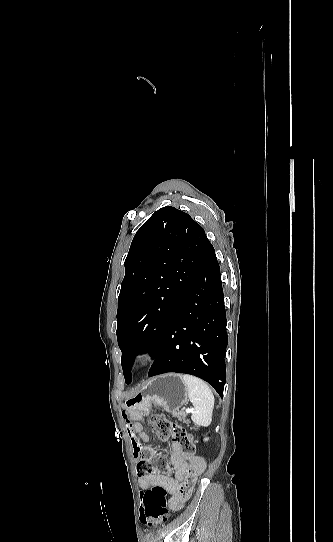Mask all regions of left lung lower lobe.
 I'll return each mask as SVG.
<instances>
[{"label": "left lung lower lobe", "instance_id": "left-lung-lower-lobe-1", "mask_svg": "<svg viewBox=\"0 0 333 542\" xmlns=\"http://www.w3.org/2000/svg\"><path fill=\"white\" fill-rule=\"evenodd\" d=\"M226 325L220 267L212 247L164 330L149 377L167 372L191 374L207 381L223 397Z\"/></svg>", "mask_w": 333, "mask_h": 542}]
</instances>
